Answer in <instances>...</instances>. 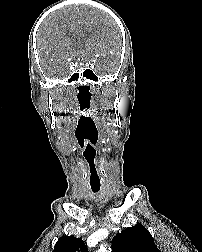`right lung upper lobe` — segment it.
<instances>
[{"instance_id":"1","label":"right lung upper lobe","mask_w":202,"mask_h":252,"mask_svg":"<svg viewBox=\"0 0 202 252\" xmlns=\"http://www.w3.org/2000/svg\"><path fill=\"white\" fill-rule=\"evenodd\" d=\"M53 252H88V249L82 239L63 236L56 242Z\"/></svg>"}]
</instances>
